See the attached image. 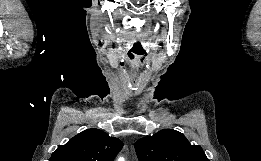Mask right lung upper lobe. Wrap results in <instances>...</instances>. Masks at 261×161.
Wrapping results in <instances>:
<instances>
[{
    "label": "right lung upper lobe",
    "instance_id": "1",
    "mask_svg": "<svg viewBox=\"0 0 261 161\" xmlns=\"http://www.w3.org/2000/svg\"><path fill=\"white\" fill-rule=\"evenodd\" d=\"M122 146L118 138L91 128L60 145L50 161H113Z\"/></svg>",
    "mask_w": 261,
    "mask_h": 161
}]
</instances>
